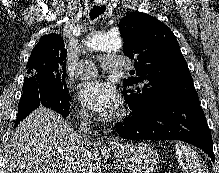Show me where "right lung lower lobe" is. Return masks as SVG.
<instances>
[{
	"label": "right lung lower lobe",
	"instance_id": "obj_1",
	"mask_svg": "<svg viewBox=\"0 0 219 173\" xmlns=\"http://www.w3.org/2000/svg\"><path fill=\"white\" fill-rule=\"evenodd\" d=\"M40 105L51 108L64 118L69 115V100L62 99L59 94L53 90L41 87L37 90L23 93L18 105V115L14 128Z\"/></svg>",
	"mask_w": 219,
	"mask_h": 173
}]
</instances>
